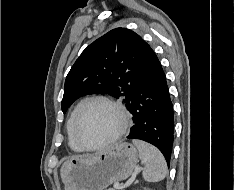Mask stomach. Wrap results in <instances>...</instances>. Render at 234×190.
<instances>
[{"mask_svg":"<svg viewBox=\"0 0 234 190\" xmlns=\"http://www.w3.org/2000/svg\"><path fill=\"white\" fill-rule=\"evenodd\" d=\"M138 156L131 143H118L101 153L67 160L60 170L61 179L68 190H105L133 173Z\"/></svg>","mask_w":234,"mask_h":190,"instance_id":"0dacf381","label":"stomach"}]
</instances>
